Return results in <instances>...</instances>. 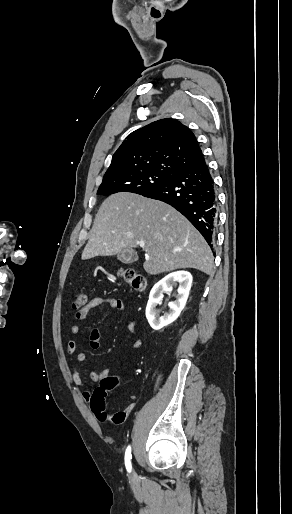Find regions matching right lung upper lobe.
I'll use <instances>...</instances> for the list:
<instances>
[{
    "instance_id": "right-lung-upper-lobe-1",
    "label": "right lung upper lobe",
    "mask_w": 292,
    "mask_h": 514,
    "mask_svg": "<svg viewBox=\"0 0 292 514\" xmlns=\"http://www.w3.org/2000/svg\"><path fill=\"white\" fill-rule=\"evenodd\" d=\"M204 162L193 132L178 120L152 122L126 137L112 157L104 178L144 172L180 170Z\"/></svg>"
}]
</instances>
